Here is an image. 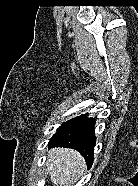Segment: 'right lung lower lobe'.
<instances>
[{
  "label": "right lung lower lobe",
  "instance_id": "obj_1",
  "mask_svg": "<svg viewBox=\"0 0 138 186\" xmlns=\"http://www.w3.org/2000/svg\"><path fill=\"white\" fill-rule=\"evenodd\" d=\"M95 120L87 114L73 118L63 123L49 142V147H67L77 150L84 156L88 168L93 164Z\"/></svg>",
  "mask_w": 138,
  "mask_h": 186
}]
</instances>
